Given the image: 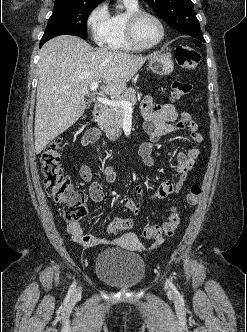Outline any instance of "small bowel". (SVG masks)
<instances>
[{
  "label": "small bowel",
  "instance_id": "small-bowel-1",
  "mask_svg": "<svg viewBox=\"0 0 247 332\" xmlns=\"http://www.w3.org/2000/svg\"><path fill=\"white\" fill-rule=\"evenodd\" d=\"M141 111L144 118V130L149 136V141L144 142L139 147V155L144 163L153 167L155 160L152 155L153 144L158 142L163 136L175 133L177 131H186L195 143H201L203 136L198 132V124L191 119L189 113L180 111L169 103L157 104L150 96L144 98L141 104ZM100 133L96 128L89 129L82 138V144L87 146L99 139ZM198 148H191L187 153L179 152L176 155L175 169L178 174L176 182L165 181L155 190L149 191L139 185L135 188L136 197L128 198L124 205L133 214L137 215L141 209L142 197L150 199H165L172 194L179 193L187 179L195 159L199 156ZM102 173L109 184L116 181L117 175L110 166L102 168ZM80 176L90 184L89 193L91 199L100 203L103 200V190L101 185L94 180L91 169L87 165L80 167ZM67 232L72 240L86 247H95L107 243V240L84 233L82 226L78 223H70L67 226Z\"/></svg>",
  "mask_w": 247,
  "mask_h": 332
}]
</instances>
